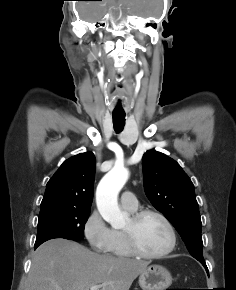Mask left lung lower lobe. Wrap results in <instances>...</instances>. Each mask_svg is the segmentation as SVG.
I'll list each match as a JSON object with an SVG mask.
<instances>
[{
    "label": "left lung lower lobe",
    "instance_id": "1",
    "mask_svg": "<svg viewBox=\"0 0 236 290\" xmlns=\"http://www.w3.org/2000/svg\"><path fill=\"white\" fill-rule=\"evenodd\" d=\"M200 263H201L203 266H204V264H205V262H203V261H202V262H200ZM207 271H208V270H207Z\"/></svg>",
    "mask_w": 236,
    "mask_h": 290
}]
</instances>
